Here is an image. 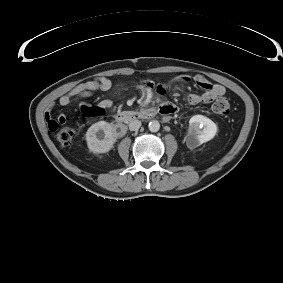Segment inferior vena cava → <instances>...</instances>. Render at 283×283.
Listing matches in <instances>:
<instances>
[{
    "label": "inferior vena cava",
    "instance_id": "inferior-vena-cava-1",
    "mask_svg": "<svg viewBox=\"0 0 283 283\" xmlns=\"http://www.w3.org/2000/svg\"><path fill=\"white\" fill-rule=\"evenodd\" d=\"M140 127H141V121H139V120H132V121L129 123V129H130L131 131H136V130H138Z\"/></svg>",
    "mask_w": 283,
    "mask_h": 283
}]
</instances>
